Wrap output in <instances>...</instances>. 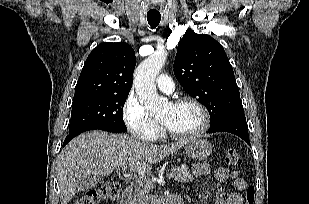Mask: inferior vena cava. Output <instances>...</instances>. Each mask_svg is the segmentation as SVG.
Returning <instances> with one entry per match:
<instances>
[{
    "mask_svg": "<svg viewBox=\"0 0 309 204\" xmlns=\"http://www.w3.org/2000/svg\"><path fill=\"white\" fill-rule=\"evenodd\" d=\"M133 204H144V203H142L141 197H138V198L134 199Z\"/></svg>",
    "mask_w": 309,
    "mask_h": 204,
    "instance_id": "inferior-vena-cava-1",
    "label": "inferior vena cava"
}]
</instances>
